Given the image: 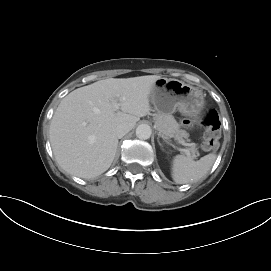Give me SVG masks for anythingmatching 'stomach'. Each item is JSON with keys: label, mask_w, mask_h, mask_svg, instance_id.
Returning a JSON list of instances; mask_svg holds the SVG:
<instances>
[{"label": "stomach", "mask_w": 271, "mask_h": 271, "mask_svg": "<svg viewBox=\"0 0 271 271\" xmlns=\"http://www.w3.org/2000/svg\"><path fill=\"white\" fill-rule=\"evenodd\" d=\"M205 95L196 87L177 79L160 78L153 84L150 100L162 114L179 111L198 122L205 107Z\"/></svg>", "instance_id": "obj_1"}]
</instances>
